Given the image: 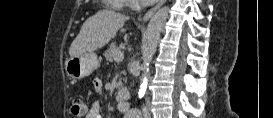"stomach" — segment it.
<instances>
[{
  "label": "stomach",
  "mask_w": 273,
  "mask_h": 118,
  "mask_svg": "<svg viewBox=\"0 0 273 118\" xmlns=\"http://www.w3.org/2000/svg\"><path fill=\"white\" fill-rule=\"evenodd\" d=\"M100 65V60L94 52L71 56L65 63L68 77L79 80L92 74Z\"/></svg>",
  "instance_id": "stomach-1"
}]
</instances>
